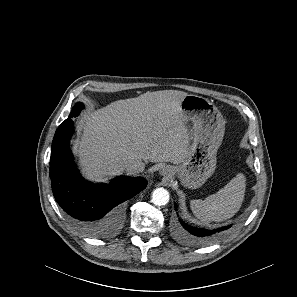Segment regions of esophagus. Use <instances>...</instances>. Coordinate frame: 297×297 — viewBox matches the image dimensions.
<instances>
[{
	"instance_id": "esophagus-1",
	"label": "esophagus",
	"mask_w": 297,
	"mask_h": 297,
	"mask_svg": "<svg viewBox=\"0 0 297 297\" xmlns=\"http://www.w3.org/2000/svg\"><path fill=\"white\" fill-rule=\"evenodd\" d=\"M159 174H160L161 176H170V171H169L168 169H166V168H161V169L159 170Z\"/></svg>"
}]
</instances>
